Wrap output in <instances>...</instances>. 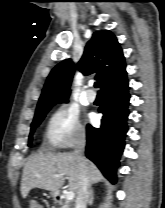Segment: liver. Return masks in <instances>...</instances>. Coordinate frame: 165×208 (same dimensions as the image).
Masks as SVG:
<instances>
[{"mask_svg": "<svg viewBox=\"0 0 165 208\" xmlns=\"http://www.w3.org/2000/svg\"><path fill=\"white\" fill-rule=\"evenodd\" d=\"M90 184L103 179L101 172L90 160L83 157ZM56 174H60L56 177ZM65 176L69 179V189L77 196L80 189V168L73 153H52L39 151L30 156L23 169L21 180V194L26 198L33 188L59 192L64 184Z\"/></svg>", "mask_w": 165, "mask_h": 208, "instance_id": "6515ba94", "label": "liver"}]
</instances>
